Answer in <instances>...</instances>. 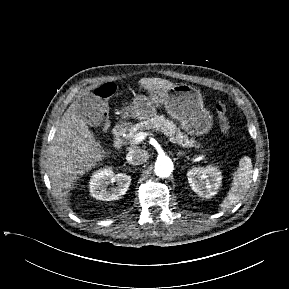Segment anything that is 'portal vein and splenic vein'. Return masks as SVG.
Masks as SVG:
<instances>
[{"label": "portal vein and splenic vein", "mask_w": 289, "mask_h": 289, "mask_svg": "<svg viewBox=\"0 0 289 289\" xmlns=\"http://www.w3.org/2000/svg\"><path fill=\"white\" fill-rule=\"evenodd\" d=\"M149 135H153L152 133L149 132H139L137 133V135L135 136V141L137 142H141L143 141L147 136ZM201 153L205 154L204 151H202Z\"/></svg>", "instance_id": "1"}]
</instances>
